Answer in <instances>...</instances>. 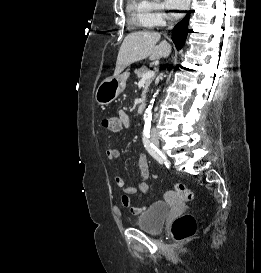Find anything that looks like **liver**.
<instances>
[{
    "label": "liver",
    "instance_id": "6515ba94",
    "mask_svg": "<svg viewBox=\"0 0 261 273\" xmlns=\"http://www.w3.org/2000/svg\"><path fill=\"white\" fill-rule=\"evenodd\" d=\"M157 32H135L127 35L119 49L114 76H118L129 65L149 58L151 61L167 57L171 52V45L160 40Z\"/></svg>",
    "mask_w": 261,
    "mask_h": 273
}]
</instances>
